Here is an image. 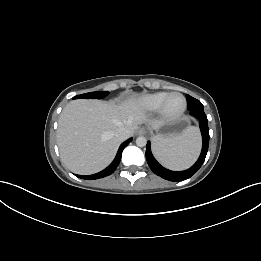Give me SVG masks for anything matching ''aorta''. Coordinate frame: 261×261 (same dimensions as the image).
<instances>
[{
    "mask_svg": "<svg viewBox=\"0 0 261 261\" xmlns=\"http://www.w3.org/2000/svg\"><path fill=\"white\" fill-rule=\"evenodd\" d=\"M147 144V139L143 136H140L136 139V145L139 147H144Z\"/></svg>",
    "mask_w": 261,
    "mask_h": 261,
    "instance_id": "aorta-1",
    "label": "aorta"
}]
</instances>
